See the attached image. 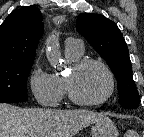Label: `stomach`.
Instances as JSON below:
<instances>
[{
  "instance_id": "1",
  "label": "stomach",
  "mask_w": 144,
  "mask_h": 137,
  "mask_svg": "<svg viewBox=\"0 0 144 137\" xmlns=\"http://www.w3.org/2000/svg\"><path fill=\"white\" fill-rule=\"evenodd\" d=\"M118 130L108 117L95 122L92 128V137H118Z\"/></svg>"
}]
</instances>
